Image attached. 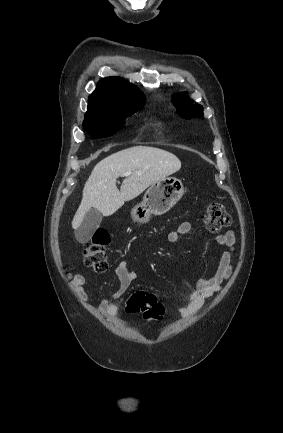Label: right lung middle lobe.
<instances>
[{
  "mask_svg": "<svg viewBox=\"0 0 283 433\" xmlns=\"http://www.w3.org/2000/svg\"><path fill=\"white\" fill-rule=\"evenodd\" d=\"M142 108L86 113L83 127L93 138L111 136L125 124V119Z\"/></svg>",
  "mask_w": 283,
  "mask_h": 433,
  "instance_id": "right-lung-middle-lobe-1",
  "label": "right lung middle lobe"
}]
</instances>
